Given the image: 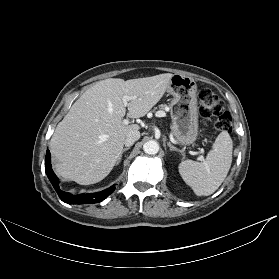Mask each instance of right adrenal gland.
Segmentation results:
<instances>
[{
  "instance_id": "right-adrenal-gland-1",
  "label": "right adrenal gland",
  "mask_w": 279,
  "mask_h": 279,
  "mask_svg": "<svg viewBox=\"0 0 279 279\" xmlns=\"http://www.w3.org/2000/svg\"><path fill=\"white\" fill-rule=\"evenodd\" d=\"M129 149H130L129 146H128V147H125V148L123 149V151H122V153H121V155H120V157H119V159H118V161H117V165L120 163V161H121V159H122V156H123V153H124L125 151L129 150Z\"/></svg>"
}]
</instances>
